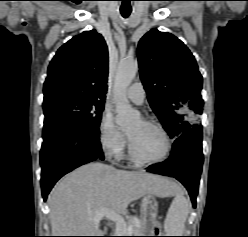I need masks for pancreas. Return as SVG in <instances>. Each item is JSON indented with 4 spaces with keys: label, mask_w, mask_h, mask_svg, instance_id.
Listing matches in <instances>:
<instances>
[{
    "label": "pancreas",
    "mask_w": 248,
    "mask_h": 237,
    "mask_svg": "<svg viewBox=\"0 0 248 237\" xmlns=\"http://www.w3.org/2000/svg\"><path fill=\"white\" fill-rule=\"evenodd\" d=\"M128 225L132 226V231L130 235H133V236H140L142 235L144 232H145V227H144V223L142 220H129L128 221ZM128 232L123 229V228H120V227H116V230H115V235H129L127 234Z\"/></svg>",
    "instance_id": "obj_1"
}]
</instances>
